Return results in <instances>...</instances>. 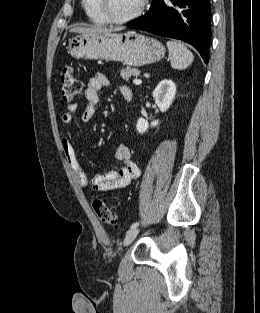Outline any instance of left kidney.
<instances>
[{
    "instance_id": "1",
    "label": "left kidney",
    "mask_w": 260,
    "mask_h": 313,
    "mask_svg": "<svg viewBox=\"0 0 260 313\" xmlns=\"http://www.w3.org/2000/svg\"><path fill=\"white\" fill-rule=\"evenodd\" d=\"M175 94L176 85L170 79L162 80L152 93L155 103L162 113L166 112L169 109L175 98ZM158 124L159 120H154L149 125L147 120H145L144 118H139L137 121L136 129L140 134H143L148 130L149 126L156 127Z\"/></svg>"
}]
</instances>
